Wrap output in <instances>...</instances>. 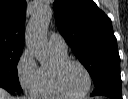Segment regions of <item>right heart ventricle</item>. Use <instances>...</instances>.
<instances>
[{
    "mask_svg": "<svg viewBox=\"0 0 128 99\" xmlns=\"http://www.w3.org/2000/svg\"><path fill=\"white\" fill-rule=\"evenodd\" d=\"M53 62L50 65L39 67L38 79L32 90V94L40 99H62L64 96L58 92L53 80L54 66L67 58V53L53 51Z\"/></svg>",
    "mask_w": 128,
    "mask_h": 99,
    "instance_id": "right-heart-ventricle-1",
    "label": "right heart ventricle"
}]
</instances>
